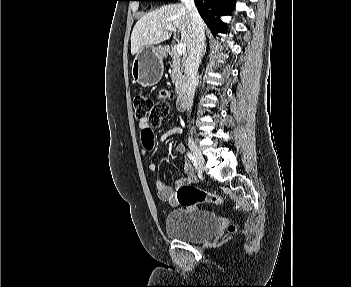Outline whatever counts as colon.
Masks as SVG:
<instances>
[{
    "label": "colon",
    "mask_w": 351,
    "mask_h": 287,
    "mask_svg": "<svg viewBox=\"0 0 351 287\" xmlns=\"http://www.w3.org/2000/svg\"><path fill=\"white\" fill-rule=\"evenodd\" d=\"M174 97L175 94L171 91H161L159 100L155 102L149 95L138 93L134 97L136 116L140 119L149 117L150 127H158L168 115L170 110L169 100ZM176 196L178 203L186 207L195 204H221L223 202L220 196L188 184L180 186ZM234 229V226H230L229 231H234Z\"/></svg>",
    "instance_id": "obj_1"
}]
</instances>
